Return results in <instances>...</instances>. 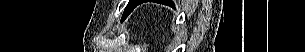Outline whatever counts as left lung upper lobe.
Masks as SVG:
<instances>
[{"mask_svg": "<svg viewBox=\"0 0 305 52\" xmlns=\"http://www.w3.org/2000/svg\"><path fill=\"white\" fill-rule=\"evenodd\" d=\"M139 0H130L128 5L126 6L124 13L122 15V19H125L133 10L134 8L138 5L137 2Z\"/></svg>", "mask_w": 305, "mask_h": 52, "instance_id": "1", "label": "left lung upper lobe"}]
</instances>
